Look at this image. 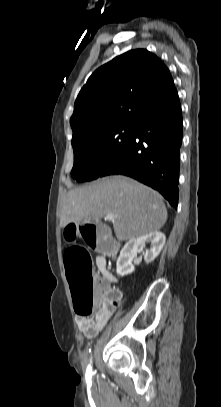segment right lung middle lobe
<instances>
[{
	"label": "right lung middle lobe",
	"mask_w": 221,
	"mask_h": 407,
	"mask_svg": "<svg viewBox=\"0 0 221 407\" xmlns=\"http://www.w3.org/2000/svg\"><path fill=\"white\" fill-rule=\"evenodd\" d=\"M134 129L135 124L113 126L73 143L72 177L78 182L91 181L100 177L129 144Z\"/></svg>",
	"instance_id": "1"
}]
</instances>
